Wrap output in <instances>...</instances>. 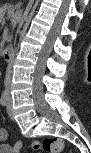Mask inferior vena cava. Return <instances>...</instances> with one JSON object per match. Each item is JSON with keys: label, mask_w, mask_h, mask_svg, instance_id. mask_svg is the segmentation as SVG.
Segmentation results:
<instances>
[{"label": "inferior vena cava", "mask_w": 91, "mask_h": 153, "mask_svg": "<svg viewBox=\"0 0 91 153\" xmlns=\"http://www.w3.org/2000/svg\"><path fill=\"white\" fill-rule=\"evenodd\" d=\"M33 0H30L26 11L24 14H27L32 6ZM16 49V48H15ZM16 57H11L10 63H8V70L6 72V77H5V87L8 89L9 85H10V81H11V73L13 70V63H15Z\"/></svg>", "instance_id": "inferior-vena-cava-1"}]
</instances>
